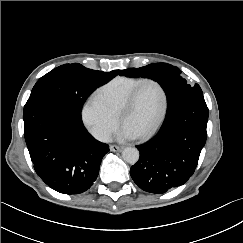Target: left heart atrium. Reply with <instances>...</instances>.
Segmentation results:
<instances>
[{"label":"left heart atrium","instance_id":"obj_1","mask_svg":"<svg viewBox=\"0 0 243 243\" xmlns=\"http://www.w3.org/2000/svg\"><path fill=\"white\" fill-rule=\"evenodd\" d=\"M138 134L131 130L129 127L123 125L120 130L117 132V139L118 140H128L137 137Z\"/></svg>","mask_w":243,"mask_h":243}]
</instances>
